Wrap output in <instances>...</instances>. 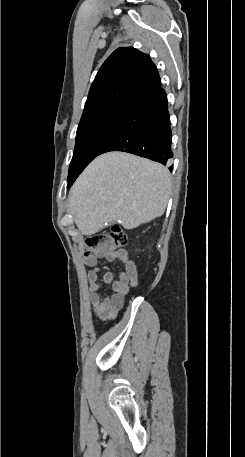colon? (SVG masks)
Returning a JSON list of instances; mask_svg holds the SVG:
<instances>
[{
  "mask_svg": "<svg viewBox=\"0 0 245 457\" xmlns=\"http://www.w3.org/2000/svg\"><path fill=\"white\" fill-rule=\"evenodd\" d=\"M125 231L118 225H113L108 231L98 232L86 239L85 257L107 256L127 244Z\"/></svg>",
  "mask_w": 245,
  "mask_h": 457,
  "instance_id": "1",
  "label": "colon"
}]
</instances>
